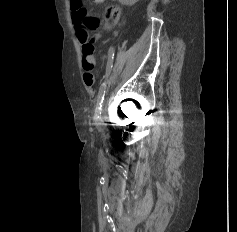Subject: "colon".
Masks as SVG:
<instances>
[{
	"label": "colon",
	"mask_w": 237,
	"mask_h": 232,
	"mask_svg": "<svg viewBox=\"0 0 237 232\" xmlns=\"http://www.w3.org/2000/svg\"><path fill=\"white\" fill-rule=\"evenodd\" d=\"M72 17L77 30V35L82 39H88V31L96 29L99 22L96 18L89 16L85 9L84 0H70ZM117 12L113 7H107L104 11V18L109 20L116 16Z\"/></svg>",
	"instance_id": "1"
}]
</instances>
